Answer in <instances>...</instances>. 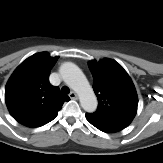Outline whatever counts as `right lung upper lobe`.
<instances>
[{"label": "right lung upper lobe", "mask_w": 163, "mask_h": 163, "mask_svg": "<svg viewBox=\"0 0 163 163\" xmlns=\"http://www.w3.org/2000/svg\"><path fill=\"white\" fill-rule=\"evenodd\" d=\"M58 58L47 52L34 54L23 61L9 78L5 102L11 116L20 124L50 121L57 116L63 103L70 100L48 80Z\"/></svg>", "instance_id": "obj_1"}]
</instances>
